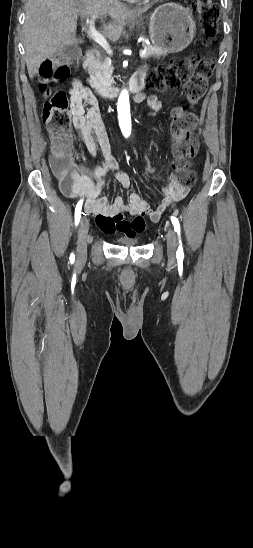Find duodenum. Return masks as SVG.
<instances>
[{
  "label": "duodenum",
  "mask_w": 253,
  "mask_h": 548,
  "mask_svg": "<svg viewBox=\"0 0 253 548\" xmlns=\"http://www.w3.org/2000/svg\"><path fill=\"white\" fill-rule=\"evenodd\" d=\"M98 55H99L98 49L90 48L86 52L84 62L86 63L92 62L98 57ZM143 85H144V77L142 75H136L130 81L129 91L131 93H138L142 90ZM98 92L102 97L112 99V98H116L120 94L121 90L120 88L113 87V86H103L98 89Z\"/></svg>",
  "instance_id": "1"
}]
</instances>
